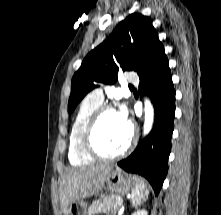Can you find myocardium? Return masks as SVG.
<instances>
[{"label":"myocardium","instance_id":"f54148a6","mask_svg":"<svg viewBox=\"0 0 221 215\" xmlns=\"http://www.w3.org/2000/svg\"><path fill=\"white\" fill-rule=\"evenodd\" d=\"M116 111L115 108L111 105H101L96 111L92 114L88 120L85 129L82 134V147L84 151L93 159L99 160H116L127 155L133 148L136 142V132L132 125L130 127V137L126 146L119 152L115 154H105L101 152L95 145L94 137L97 126L101 118L108 112Z\"/></svg>","mask_w":221,"mask_h":215}]
</instances>
